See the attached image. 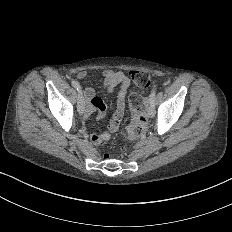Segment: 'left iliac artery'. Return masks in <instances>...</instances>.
<instances>
[{
    "instance_id": "left-iliac-artery-1",
    "label": "left iliac artery",
    "mask_w": 232,
    "mask_h": 232,
    "mask_svg": "<svg viewBox=\"0 0 232 232\" xmlns=\"http://www.w3.org/2000/svg\"><path fill=\"white\" fill-rule=\"evenodd\" d=\"M155 95H156V88H153L151 93H150V96H149L150 99H151L152 104H154Z\"/></svg>"
}]
</instances>
